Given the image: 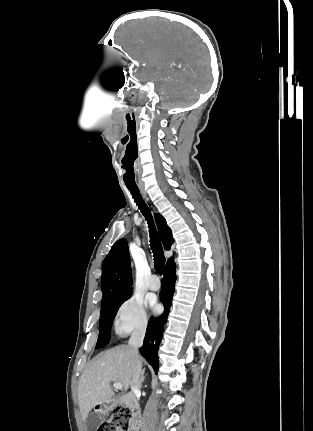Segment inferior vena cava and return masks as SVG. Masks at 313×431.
<instances>
[{
  "label": "inferior vena cava",
  "mask_w": 313,
  "mask_h": 431,
  "mask_svg": "<svg viewBox=\"0 0 313 431\" xmlns=\"http://www.w3.org/2000/svg\"><path fill=\"white\" fill-rule=\"evenodd\" d=\"M145 336V329L140 328L133 332L130 340H129V346L132 349L134 355L136 358L138 357V349L143 345V340ZM140 377H141V365L137 361V367L136 371L133 375L132 381H131V391L132 394L130 395V402L138 405V401L136 399V394L140 391Z\"/></svg>",
  "instance_id": "1"
}]
</instances>
